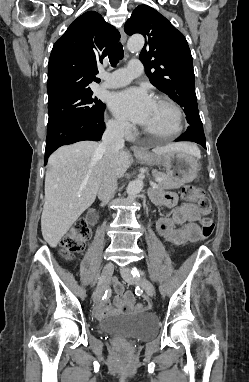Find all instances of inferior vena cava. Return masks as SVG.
Segmentation results:
<instances>
[{
  "label": "inferior vena cava",
  "instance_id": "obj_1",
  "mask_svg": "<svg viewBox=\"0 0 249 382\" xmlns=\"http://www.w3.org/2000/svg\"><path fill=\"white\" fill-rule=\"evenodd\" d=\"M124 122L107 125L99 146L104 152L106 164L98 187V198L107 203L115 195L117 189V170L115 161L120 151L124 148Z\"/></svg>",
  "mask_w": 249,
  "mask_h": 382
}]
</instances>
